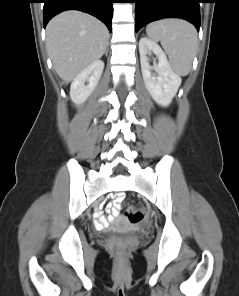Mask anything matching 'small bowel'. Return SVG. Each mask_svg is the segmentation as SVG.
Wrapping results in <instances>:
<instances>
[{"mask_svg":"<svg viewBox=\"0 0 239 296\" xmlns=\"http://www.w3.org/2000/svg\"><path fill=\"white\" fill-rule=\"evenodd\" d=\"M120 197L118 196L115 201L111 204H109L106 208L107 210V213L109 215L108 218H104L100 215V218L102 220V222L105 224V223H108V222H111L112 221V218L116 217L118 214H119V205H120Z\"/></svg>","mask_w":239,"mask_h":296,"instance_id":"obj_1","label":"small bowel"}]
</instances>
